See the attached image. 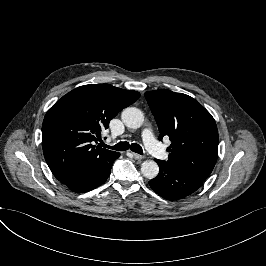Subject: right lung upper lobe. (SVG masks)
Returning a JSON list of instances; mask_svg holds the SVG:
<instances>
[{
  "label": "right lung upper lobe",
  "instance_id": "right-lung-upper-lobe-1",
  "mask_svg": "<svg viewBox=\"0 0 266 266\" xmlns=\"http://www.w3.org/2000/svg\"><path fill=\"white\" fill-rule=\"evenodd\" d=\"M140 93L109 84L80 86L59 99L46 113L42 147L53 175L71 180L84 166L109 162L119 153L95 147L96 136L122 109L136 102Z\"/></svg>",
  "mask_w": 266,
  "mask_h": 266
}]
</instances>
